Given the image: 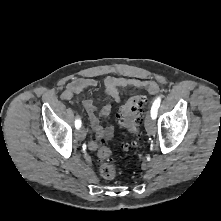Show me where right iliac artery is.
<instances>
[{
    "label": "right iliac artery",
    "mask_w": 221,
    "mask_h": 221,
    "mask_svg": "<svg viewBox=\"0 0 221 221\" xmlns=\"http://www.w3.org/2000/svg\"><path fill=\"white\" fill-rule=\"evenodd\" d=\"M75 127L77 129H79L81 127V120H80V118H76V120H75Z\"/></svg>",
    "instance_id": "1"
}]
</instances>
